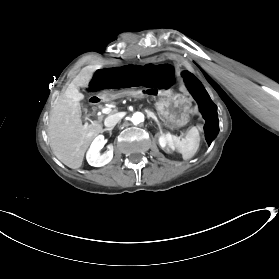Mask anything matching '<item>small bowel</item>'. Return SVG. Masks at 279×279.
I'll list each match as a JSON object with an SVG mask.
<instances>
[{
    "label": "small bowel",
    "mask_w": 279,
    "mask_h": 279,
    "mask_svg": "<svg viewBox=\"0 0 279 279\" xmlns=\"http://www.w3.org/2000/svg\"><path fill=\"white\" fill-rule=\"evenodd\" d=\"M176 83L174 70L169 67H162L153 76L152 86L155 88H169Z\"/></svg>",
    "instance_id": "c3829d8e"
}]
</instances>
